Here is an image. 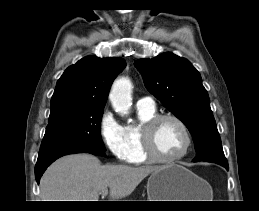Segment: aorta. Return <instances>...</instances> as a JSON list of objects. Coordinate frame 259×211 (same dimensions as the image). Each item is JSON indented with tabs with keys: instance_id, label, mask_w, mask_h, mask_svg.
<instances>
[{
	"instance_id": "762f6f07",
	"label": "aorta",
	"mask_w": 259,
	"mask_h": 211,
	"mask_svg": "<svg viewBox=\"0 0 259 211\" xmlns=\"http://www.w3.org/2000/svg\"><path fill=\"white\" fill-rule=\"evenodd\" d=\"M132 83L127 77H120L112 85L109 99L113 109L121 116H127L132 105Z\"/></svg>"
}]
</instances>
